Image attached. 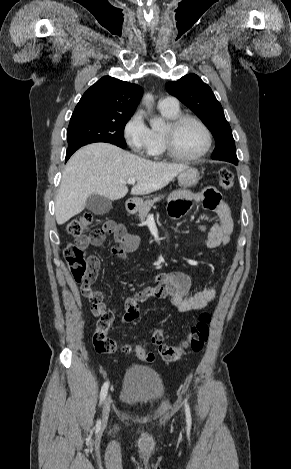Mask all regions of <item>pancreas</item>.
I'll return each instance as SVG.
<instances>
[{"label":"pancreas","instance_id":"cf45deb5","mask_svg":"<svg viewBox=\"0 0 291 469\" xmlns=\"http://www.w3.org/2000/svg\"><path fill=\"white\" fill-rule=\"evenodd\" d=\"M164 196H159L154 198L153 200H146L144 203L141 204V206L138 208V216L141 221H143L150 209L153 207L155 202H158L161 198Z\"/></svg>","mask_w":291,"mask_h":469}]
</instances>
